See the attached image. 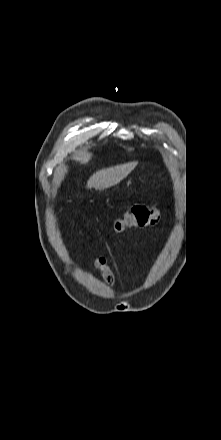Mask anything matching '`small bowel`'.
I'll use <instances>...</instances> for the list:
<instances>
[{
  "mask_svg": "<svg viewBox=\"0 0 221 440\" xmlns=\"http://www.w3.org/2000/svg\"><path fill=\"white\" fill-rule=\"evenodd\" d=\"M93 267L109 287L115 286L114 267L106 257H98L94 261Z\"/></svg>",
  "mask_w": 221,
  "mask_h": 440,
  "instance_id": "obj_1",
  "label": "small bowel"
}]
</instances>
